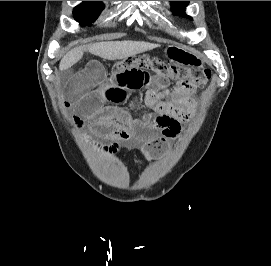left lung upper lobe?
I'll return each mask as SVG.
<instances>
[{
  "mask_svg": "<svg viewBox=\"0 0 271 266\" xmlns=\"http://www.w3.org/2000/svg\"><path fill=\"white\" fill-rule=\"evenodd\" d=\"M189 1H171V7L174 12L181 14L184 17L192 19L190 16L185 14V8Z\"/></svg>",
  "mask_w": 271,
  "mask_h": 266,
  "instance_id": "left-lung-upper-lobe-1",
  "label": "left lung upper lobe"
}]
</instances>
